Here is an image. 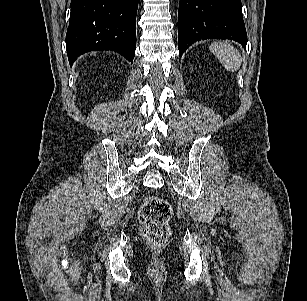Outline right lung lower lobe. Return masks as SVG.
<instances>
[{"instance_id":"right-lung-lower-lobe-1","label":"right lung lower lobe","mask_w":307,"mask_h":301,"mask_svg":"<svg viewBox=\"0 0 307 301\" xmlns=\"http://www.w3.org/2000/svg\"><path fill=\"white\" fill-rule=\"evenodd\" d=\"M66 49L70 65L85 52L114 50L133 62L138 0H72Z\"/></svg>"}]
</instances>
